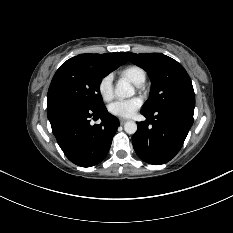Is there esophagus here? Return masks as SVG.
<instances>
[{"instance_id": "1", "label": "esophagus", "mask_w": 233, "mask_h": 233, "mask_svg": "<svg viewBox=\"0 0 233 233\" xmlns=\"http://www.w3.org/2000/svg\"><path fill=\"white\" fill-rule=\"evenodd\" d=\"M119 121H120V123H121V124H124V123H126V122H127V119L120 118V119H119Z\"/></svg>"}]
</instances>
